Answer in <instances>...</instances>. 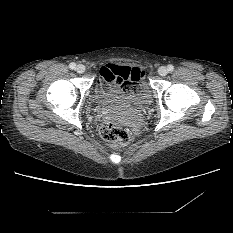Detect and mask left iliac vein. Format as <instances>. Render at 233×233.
I'll return each mask as SVG.
<instances>
[{
    "instance_id": "left-iliac-vein-1",
    "label": "left iliac vein",
    "mask_w": 233,
    "mask_h": 233,
    "mask_svg": "<svg viewBox=\"0 0 233 233\" xmlns=\"http://www.w3.org/2000/svg\"><path fill=\"white\" fill-rule=\"evenodd\" d=\"M167 73H168V69L165 66L159 67L158 74L160 76H165V75H167Z\"/></svg>"
}]
</instances>
